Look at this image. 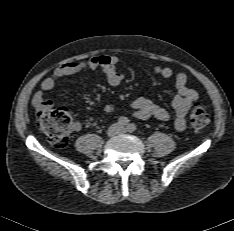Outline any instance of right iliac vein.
Listing matches in <instances>:
<instances>
[{
	"instance_id": "1",
	"label": "right iliac vein",
	"mask_w": 234,
	"mask_h": 231,
	"mask_svg": "<svg viewBox=\"0 0 234 231\" xmlns=\"http://www.w3.org/2000/svg\"><path fill=\"white\" fill-rule=\"evenodd\" d=\"M117 131H118V126H117V125H114V126H112V127L109 129L108 134H109L110 136H113V135H115V134L117 133Z\"/></svg>"
}]
</instances>
